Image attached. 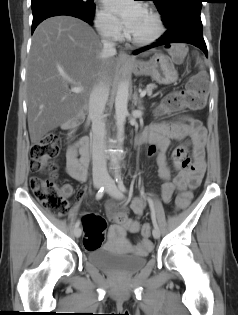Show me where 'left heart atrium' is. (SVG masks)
Returning <instances> with one entry per match:
<instances>
[{
  "mask_svg": "<svg viewBox=\"0 0 238 315\" xmlns=\"http://www.w3.org/2000/svg\"><path fill=\"white\" fill-rule=\"evenodd\" d=\"M107 9L120 21L127 31L131 30L143 11L140 3L133 0H104Z\"/></svg>",
  "mask_w": 238,
  "mask_h": 315,
  "instance_id": "obj_1",
  "label": "left heart atrium"
}]
</instances>
